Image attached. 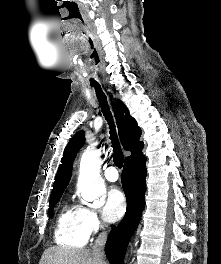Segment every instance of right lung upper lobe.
Returning <instances> with one entry per match:
<instances>
[{"instance_id": "right-lung-upper-lobe-1", "label": "right lung upper lobe", "mask_w": 221, "mask_h": 264, "mask_svg": "<svg viewBox=\"0 0 221 264\" xmlns=\"http://www.w3.org/2000/svg\"><path fill=\"white\" fill-rule=\"evenodd\" d=\"M114 114L122 146L125 150L132 153L131 156L125 159V162L144 157L142 154L144 145L143 142L139 141L141 129L137 126L136 120L130 116L127 107L119 99L114 103ZM84 141L85 135L83 130L77 132L69 141L61 159L62 164H60L55 177L51 198L62 194L67 187L71 178L74 157L83 146Z\"/></svg>"}]
</instances>
